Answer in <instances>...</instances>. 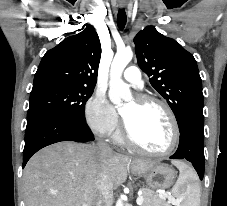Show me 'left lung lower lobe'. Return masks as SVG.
<instances>
[{
  "mask_svg": "<svg viewBox=\"0 0 227 206\" xmlns=\"http://www.w3.org/2000/svg\"><path fill=\"white\" fill-rule=\"evenodd\" d=\"M204 122L196 119L187 121L180 131L179 146L172 159H186L192 163L199 178L204 176Z\"/></svg>",
  "mask_w": 227,
  "mask_h": 206,
  "instance_id": "left-lung-lower-lobe-1",
  "label": "left lung lower lobe"
}]
</instances>
